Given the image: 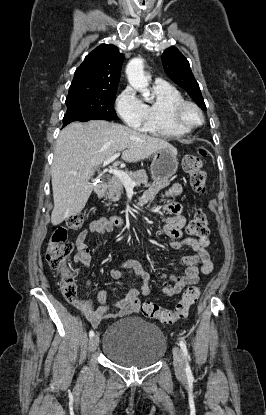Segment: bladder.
I'll use <instances>...</instances> for the list:
<instances>
[{
	"label": "bladder",
	"instance_id": "obj_1",
	"mask_svg": "<svg viewBox=\"0 0 266 415\" xmlns=\"http://www.w3.org/2000/svg\"><path fill=\"white\" fill-rule=\"evenodd\" d=\"M166 348L162 330L140 317H127L110 324L102 343L103 354L127 368L154 365L164 356Z\"/></svg>",
	"mask_w": 266,
	"mask_h": 415
}]
</instances>
